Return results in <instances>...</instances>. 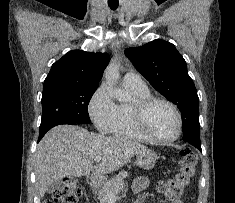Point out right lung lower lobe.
Returning a JSON list of instances; mask_svg holds the SVG:
<instances>
[{"label": "right lung lower lobe", "instance_id": "obj_1", "mask_svg": "<svg viewBox=\"0 0 235 203\" xmlns=\"http://www.w3.org/2000/svg\"><path fill=\"white\" fill-rule=\"evenodd\" d=\"M65 124H77V123H65ZM56 125H60V124H54L52 126H49V127H46V128H43V129H40L39 131V138H38V142L42 139V137L45 135V133L50 130L52 127L56 126Z\"/></svg>", "mask_w": 235, "mask_h": 203}]
</instances>
